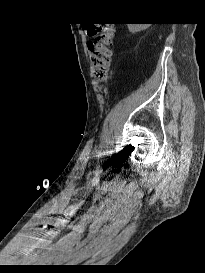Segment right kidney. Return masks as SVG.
<instances>
[{"label":"right kidney","mask_w":205,"mask_h":273,"mask_svg":"<svg viewBox=\"0 0 205 273\" xmlns=\"http://www.w3.org/2000/svg\"><path fill=\"white\" fill-rule=\"evenodd\" d=\"M142 29H143V27H137V28H136V27H132V26L129 27V30H130V31H140V30H142Z\"/></svg>","instance_id":"obj_1"}]
</instances>
